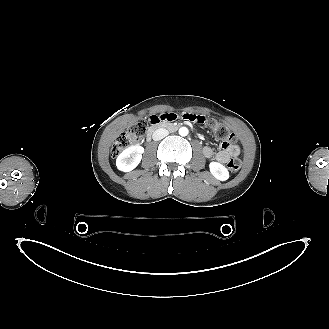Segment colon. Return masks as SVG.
Wrapping results in <instances>:
<instances>
[{"label":"colon","mask_w":329,"mask_h":329,"mask_svg":"<svg viewBox=\"0 0 329 329\" xmlns=\"http://www.w3.org/2000/svg\"><path fill=\"white\" fill-rule=\"evenodd\" d=\"M209 125L215 136L222 141V144L224 146H229L235 141L234 133L224 124L218 121H211ZM147 127L148 121L143 120L139 121L132 127L128 128L126 131L121 133L114 143L112 149V156L116 157L122 150L138 142L145 134ZM240 167L241 161L239 158L236 157L231 158L227 163V168L231 172L238 171Z\"/></svg>","instance_id":"obj_1"}]
</instances>
